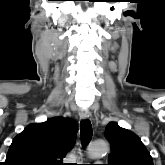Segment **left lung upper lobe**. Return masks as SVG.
<instances>
[{"label":"left lung upper lobe","instance_id":"5c2ea615","mask_svg":"<svg viewBox=\"0 0 165 165\" xmlns=\"http://www.w3.org/2000/svg\"><path fill=\"white\" fill-rule=\"evenodd\" d=\"M105 137L111 146L107 165H153L152 157L140 138L116 122L108 124Z\"/></svg>","mask_w":165,"mask_h":165}]
</instances>
